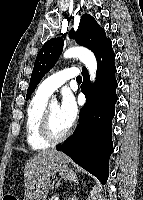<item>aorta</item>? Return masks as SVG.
Wrapping results in <instances>:
<instances>
[{
    "instance_id": "1",
    "label": "aorta",
    "mask_w": 143,
    "mask_h": 200,
    "mask_svg": "<svg viewBox=\"0 0 143 200\" xmlns=\"http://www.w3.org/2000/svg\"><path fill=\"white\" fill-rule=\"evenodd\" d=\"M64 58H78L88 69L90 74V80L95 81L97 71V61L92 51L89 49L77 46L70 47L63 53ZM56 103V100H54Z\"/></svg>"
}]
</instances>
